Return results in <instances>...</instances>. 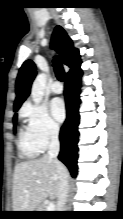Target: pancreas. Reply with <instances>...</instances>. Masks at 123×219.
<instances>
[{
  "label": "pancreas",
  "mask_w": 123,
  "mask_h": 219,
  "mask_svg": "<svg viewBox=\"0 0 123 219\" xmlns=\"http://www.w3.org/2000/svg\"><path fill=\"white\" fill-rule=\"evenodd\" d=\"M37 211H46V206L44 204L38 205Z\"/></svg>",
  "instance_id": "1"
}]
</instances>
